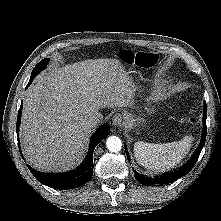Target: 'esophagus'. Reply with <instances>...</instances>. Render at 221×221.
<instances>
[{
	"label": "esophagus",
	"instance_id": "34e87169",
	"mask_svg": "<svg viewBox=\"0 0 221 221\" xmlns=\"http://www.w3.org/2000/svg\"><path fill=\"white\" fill-rule=\"evenodd\" d=\"M112 124L114 127L120 128L124 124L123 115L120 113L114 114Z\"/></svg>",
	"mask_w": 221,
	"mask_h": 221
}]
</instances>
